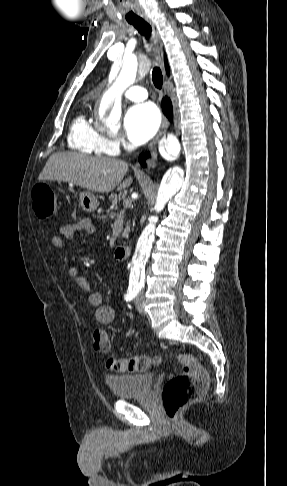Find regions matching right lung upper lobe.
Instances as JSON below:
<instances>
[{
  "label": "right lung upper lobe",
  "instance_id": "obj_1",
  "mask_svg": "<svg viewBox=\"0 0 287 486\" xmlns=\"http://www.w3.org/2000/svg\"><path fill=\"white\" fill-rule=\"evenodd\" d=\"M166 71H167V73H169V68H168L167 63H166Z\"/></svg>",
  "mask_w": 287,
  "mask_h": 486
}]
</instances>
